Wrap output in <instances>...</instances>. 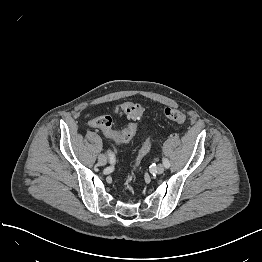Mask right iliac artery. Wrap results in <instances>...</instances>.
Here are the masks:
<instances>
[{
  "instance_id": "82829eb1",
  "label": "right iliac artery",
  "mask_w": 262,
  "mask_h": 262,
  "mask_svg": "<svg viewBox=\"0 0 262 262\" xmlns=\"http://www.w3.org/2000/svg\"><path fill=\"white\" fill-rule=\"evenodd\" d=\"M108 155H109L110 159H112L113 154L111 152H109Z\"/></svg>"
}]
</instances>
